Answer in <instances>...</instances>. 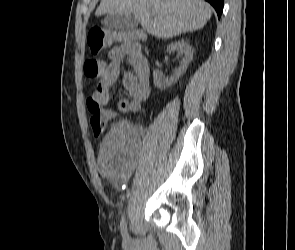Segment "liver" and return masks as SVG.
<instances>
[{
	"instance_id": "liver-1",
	"label": "liver",
	"mask_w": 295,
	"mask_h": 250,
	"mask_svg": "<svg viewBox=\"0 0 295 250\" xmlns=\"http://www.w3.org/2000/svg\"><path fill=\"white\" fill-rule=\"evenodd\" d=\"M105 14H133L147 33L167 39L201 29L212 9L202 0H101L95 15Z\"/></svg>"
}]
</instances>
